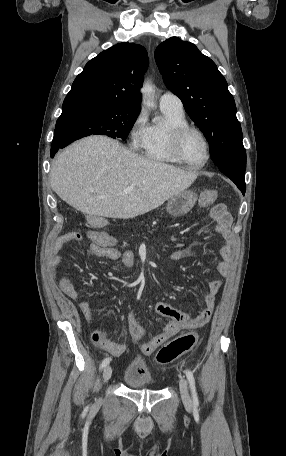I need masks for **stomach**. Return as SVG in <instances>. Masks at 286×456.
Listing matches in <instances>:
<instances>
[{
  "mask_svg": "<svg viewBox=\"0 0 286 456\" xmlns=\"http://www.w3.org/2000/svg\"><path fill=\"white\" fill-rule=\"evenodd\" d=\"M197 195L193 191L185 190L168 201L167 212L172 216H182L187 214L195 205Z\"/></svg>",
  "mask_w": 286,
  "mask_h": 456,
  "instance_id": "1",
  "label": "stomach"
}]
</instances>
